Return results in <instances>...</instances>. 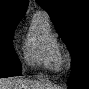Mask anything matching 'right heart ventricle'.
<instances>
[{
  "mask_svg": "<svg viewBox=\"0 0 89 89\" xmlns=\"http://www.w3.org/2000/svg\"><path fill=\"white\" fill-rule=\"evenodd\" d=\"M25 57L31 65H43L53 70H59L62 65L59 41L45 12L38 11L32 18Z\"/></svg>",
  "mask_w": 89,
  "mask_h": 89,
  "instance_id": "right-heart-ventricle-1",
  "label": "right heart ventricle"
}]
</instances>
